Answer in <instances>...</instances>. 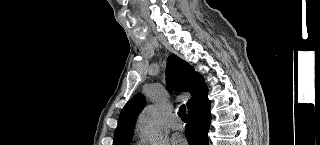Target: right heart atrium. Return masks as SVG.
I'll list each match as a JSON object with an SVG mask.
<instances>
[{"instance_id":"d8ad5b80","label":"right heart atrium","mask_w":320,"mask_h":145,"mask_svg":"<svg viewBox=\"0 0 320 145\" xmlns=\"http://www.w3.org/2000/svg\"><path fill=\"white\" fill-rule=\"evenodd\" d=\"M138 145H150V144L141 139ZM155 145H160V143H156Z\"/></svg>"}]
</instances>
